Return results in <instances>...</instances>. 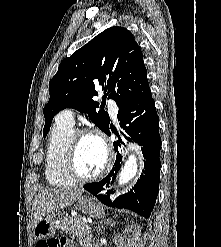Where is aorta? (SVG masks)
I'll use <instances>...</instances> for the list:
<instances>
[{"mask_svg": "<svg viewBox=\"0 0 221 247\" xmlns=\"http://www.w3.org/2000/svg\"><path fill=\"white\" fill-rule=\"evenodd\" d=\"M138 171V161L135 154H130L125 161L124 166L122 167L119 178H118V185L123 186L127 184L130 180H132Z\"/></svg>", "mask_w": 221, "mask_h": 247, "instance_id": "obj_1", "label": "aorta"}]
</instances>
